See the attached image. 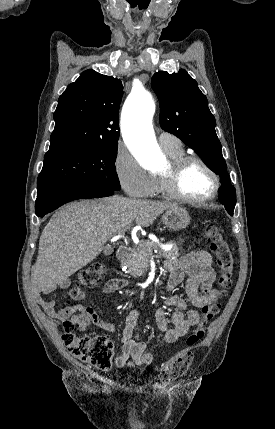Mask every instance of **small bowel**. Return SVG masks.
<instances>
[{
	"label": "small bowel",
	"instance_id": "obj_1",
	"mask_svg": "<svg viewBox=\"0 0 275 429\" xmlns=\"http://www.w3.org/2000/svg\"><path fill=\"white\" fill-rule=\"evenodd\" d=\"M165 267L169 272L167 289L172 290L183 280H186V293L188 299L178 295H171L164 303L174 306L176 310L171 316L172 325H169L162 308L157 309L155 318L160 331L163 332L166 343H174L184 336L190 327L196 325L200 319L198 309L214 303L220 294L214 285L217 281V272L212 267V258L206 251H193L185 253L180 259L166 261ZM126 282L121 279H111L105 286L106 293H115L122 289ZM59 287H67L66 283L58 284ZM55 287L42 288L36 296L37 303L43 310L56 319L70 322L84 331L90 324H94L106 331L113 332L114 325L100 318L93 307L87 304H77L57 309L51 300L42 297L43 293L54 290ZM69 294L73 299L85 300L87 294L79 288H69ZM189 304L197 309H189ZM140 312L132 310L126 319L121 337V354L116 357L115 364L118 368L148 365L152 361V355L148 351L146 342L136 338V325Z\"/></svg>",
	"mask_w": 275,
	"mask_h": 429
}]
</instances>
